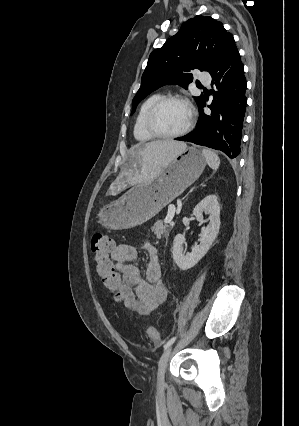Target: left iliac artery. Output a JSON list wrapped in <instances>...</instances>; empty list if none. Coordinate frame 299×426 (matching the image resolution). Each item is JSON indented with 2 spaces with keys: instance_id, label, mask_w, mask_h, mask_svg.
Masks as SVG:
<instances>
[{
  "instance_id": "44dca946",
  "label": "left iliac artery",
  "mask_w": 299,
  "mask_h": 426,
  "mask_svg": "<svg viewBox=\"0 0 299 426\" xmlns=\"http://www.w3.org/2000/svg\"><path fill=\"white\" fill-rule=\"evenodd\" d=\"M176 340V336H174V337H172L171 339H169L166 343H165V345H164V350H166L167 348H169L173 343H174V341Z\"/></svg>"
}]
</instances>
